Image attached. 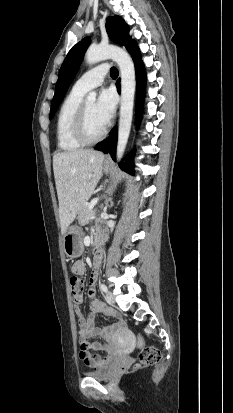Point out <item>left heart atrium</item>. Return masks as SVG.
Instances as JSON below:
<instances>
[{"instance_id":"obj_1","label":"left heart atrium","mask_w":233,"mask_h":413,"mask_svg":"<svg viewBox=\"0 0 233 413\" xmlns=\"http://www.w3.org/2000/svg\"><path fill=\"white\" fill-rule=\"evenodd\" d=\"M116 109V96L111 89L101 91L96 102V113L99 120L105 126L111 120Z\"/></svg>"}]
</instances>
